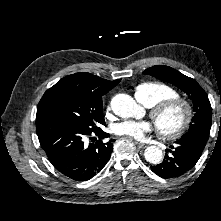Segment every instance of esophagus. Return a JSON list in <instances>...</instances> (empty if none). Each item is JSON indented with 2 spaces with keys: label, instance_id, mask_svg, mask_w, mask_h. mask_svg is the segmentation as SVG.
<instances>
[{
  "label": "esophagus",
  "instance_id": "esophagus-1",
  "mask_svg": "<svg viewBox=\"0 0 221 221\" xmlns=\"http://www.w3.org/2000/svg\"><path fill=\"white\" fill-rule=\"evenodd\" d=\"M136 145H137L138 149H144L147 146L146 144L140 143V142H136Z\"/></svg>",
  "mask_w": 221,
  "mask_h": 221
}]
</instances>
